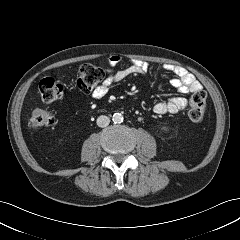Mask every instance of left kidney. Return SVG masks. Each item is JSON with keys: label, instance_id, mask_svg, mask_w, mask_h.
Wrapping results in <instances>:
<instances>
[{"label": "left kidney", "instance_id": "left-kidney-1", "mask_svg": "<svg viewBox=\"0 0 240 240\" xmlns=\"http://www.w3.org/2000/svg\"><path fill=\"white\" fill-rule=\"evenodd\" d=\"M163 130H165V131H166V130H167V128H166V127H163Z\"/></svg>", "mask_w": 240, "mask_h": 240}]
</instances>
